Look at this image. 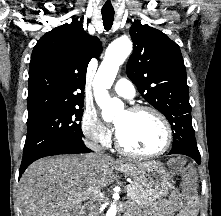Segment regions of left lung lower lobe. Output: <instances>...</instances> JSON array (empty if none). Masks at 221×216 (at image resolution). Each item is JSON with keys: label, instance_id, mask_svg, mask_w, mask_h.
I'll return each instance as SVG.
<instances>
[{"label": "left lung lower lobe", "instance_id": "left-lung-lower-lobe-1", "mask_svg": "<svg viewBox=\"0 0 221 216\" xmlns=\"http://www.w3.org/2000/svg\"><path fill=\"white\" fill-rule=\"evenodd\" d=\"M169 154H183V155H187V156L193 158L198 164L201 163V156H200V154H195V153H192V152H189V151L179 150V149L171 150L169 152Z\"/></svg>", "mask_w": 221, "mask_h": 216}]
</instances>
